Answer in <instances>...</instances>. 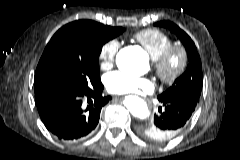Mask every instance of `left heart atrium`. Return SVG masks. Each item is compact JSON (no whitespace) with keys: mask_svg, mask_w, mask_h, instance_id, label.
<instances>
[{"mask_svg":"<svg viewBox=\"0 0 240 160\" xmlns=\"http://www.w3.org/2000/svg\"><path fill=\"white\" fill-rule=\"evenodd\" d=\"M106 87L116 94H128L138 91L151 92L153 83L147 78L134 77L122 72H113L106 78Z\"/></svg>","mask_w":240,"mask_h":160,"instance_id":"left-heart-atrium-1","label":"left heart atrium"}]
</instances>
